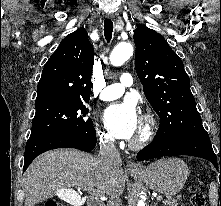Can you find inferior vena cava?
<instances>
[{
  "label": "inferior vena cava",
  "instance_id": "inferior-vena-cava-1",
  "mask_svg": "<svg viewBox=\"0 0 221 206\" xmlns=\"http://www.w3.org/2000/svg\"><path fill=\"white\" fill-rule=\"evenodd\" d=\"M100 155L101 159L109 163H120V153L116 149L114 139L105 138L100 140ZM107 206H122L121 199L118 196H111Z\"/></svg>",
  "mask_w": 221,
  "mask_h": 206
}]
</instances>
